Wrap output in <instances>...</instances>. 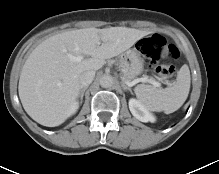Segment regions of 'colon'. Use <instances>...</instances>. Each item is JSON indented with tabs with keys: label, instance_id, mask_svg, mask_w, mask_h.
<instances>
[{
	"label": "colon",
	"instance_id": "obj_1",
	"mask_svg": "<svg viewBox=\"0 0 219 174\" xmlns=\"http://www.w3.org/2000/svg\"><path fill=\"white\" fill-rule=\"evenodd\" d=\"M137 47L162 79L169 81L172 78L175 71L172 62L179 56L176 46L168 43L163 36L154 34L141 39Z\"/></svg>",
	"mask_w": 219,
	"mask_h": 174
}]
</instances>
